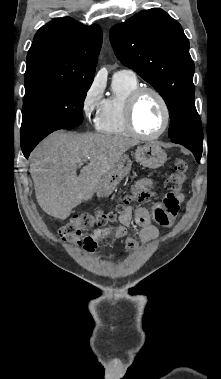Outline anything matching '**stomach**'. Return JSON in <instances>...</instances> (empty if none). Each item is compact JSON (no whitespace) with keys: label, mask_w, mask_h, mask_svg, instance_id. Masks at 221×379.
Segmentation results:
<instances>
[{"label":"stomach","mask_w":221,"mask_h":379,"mask_svg":"<svg viewBox=\"0 0 221 379\" xmlns=\"http://www.w3.org/2000/svg\"><path fill=\"white\" fill-rule=\"evenodd\" d=\"M135 159L145 167L157 169L166 162L167 155L157 143L148 142L137 147ZM131 167L132 161L130 158L123 155L116 165L102 177L97 188V194L99 196L110 195L120 181L130 172Z\"/></svg>","instance_id":"obj_1"}]
</instances>
